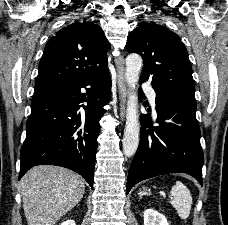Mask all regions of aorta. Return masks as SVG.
<instances>
[{"label":"aorta","mask_w":228,"mask_h":225,"mask_svg":"<svg viewBox=\"0 0 228 225\" xmlns=\"http://www.w3.org/2000/svg\"><path fill=\"white\" fill-rule=\"evenodd\" d=\"M142 62L143 60L140 54H128L126 58L125 80L131 88H135V84L142 68ZM139 133L140 125L137 94L136 92H129L126 127L123 139V151L126 157H132V155H135L139 145Z\"/></svg>","instance_id":"obj_1"}]
</instances>
